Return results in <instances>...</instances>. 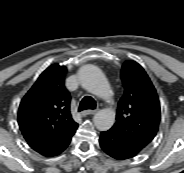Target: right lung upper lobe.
I'll return each mask as SVG.
<instances>
[{
	"label": "right lung upper lobe",
	"instance_id": "right-lung-upper-lobe-1",
	"mask_svg": "<svg viewBox=\"0 0 184 173\" xmlns=\"http://www.w3.org/2000/svg\"><path fill=\"white\" fill-rule=\"evenodd\" d=\"M66 67H48L23 97L18 124L30 147L44 155L56 149L76 131L71 97L64 86Z\"/></svg>",
	"mask_w": 184,
	"mask_h": 173
}]
</instances>
